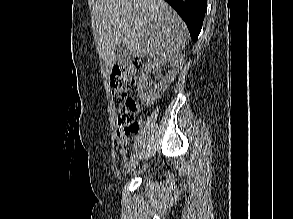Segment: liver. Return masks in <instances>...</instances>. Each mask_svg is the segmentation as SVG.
Segmentation results:
<instances>
[{
    "label": "liver",
    "mask_w": 293,
    "mask_h": 219,
    "mask_svg": "<svg viewBox=\"0 0 293 219\" xmlns=\"http://www.w3.org/2000/svg\"><path fill=\"white\" fill-rule=\"evenodd\" d=\"M93 33L108 73L122 41L133 57L160 58L184 47L187 27L164 0H97Z\"/></svg>",
    "instance_id": "6515ba94"
}]
</instances>
